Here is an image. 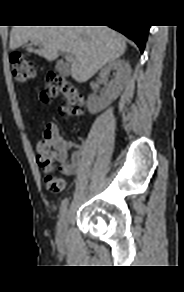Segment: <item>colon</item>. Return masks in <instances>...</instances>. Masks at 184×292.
Wrapping results in <instances>:
<instances>
[{"instance_id": "1", "label": "colon", "mask_w": 184, "mask_h": 292, "mask_svg": "<svg viewBox=\"0 0 184 292\" xmlns=\"http://www.w3.org/2000/svg\"><path fill=\"white\" fill-rule=\"evenodd\" d=\"M14 80L19 84L27 83L36 76L35 65L21 55H12L10 58ZM62 99L59 111L63 116L80 118L84 114V98L78 87L60 74L50 73L45 79V88L40 94L41 102H50ZM54 125L47 124L39 132V141L36 147L37 164L46 173L45 186L52 193H59L64 188L62 178L54 175L56 155L50 140L54 132Z\"/></svg>"}]
</instances>
